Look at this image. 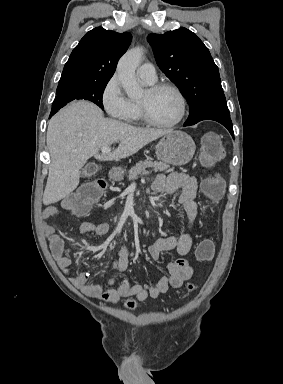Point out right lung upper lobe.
Wrapping results in <instances>:
<instances>
[{
	"label": "right lung upper lobe",
	"mask_w": 283,
	"mask_h": 384,
	"mask_svg": "<svg viewBox=\"0 0 283 384\" xmlns=\"http://www.w3.org/2000/svg\"><path fill=\"white\" fill-rule=\"evenodd\" d=\"M131 40L128 32L117 33L102 27L89 31L72 51L58 86L108 82Z\"/></svg>",
	"instance_id": "obj_1"
}]
</instances>
